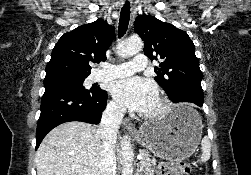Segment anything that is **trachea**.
Listing matches in <instances>:
<instances>
[{
	"label": "trachea",
	"instance_id": "trachea-1",
	"mask_svg": "<svg viewBox=\"0 0 251 175\" xmlns=\"http://www.w3.org/2000/svg\"><path fill=\"white\" fill-rule=\"evenodd\" d=\"M129 19H130V4L129 2H126L124 6L122 7L121 13H120V20H119V27H118L119 37H122L126 33Z\"/></svg>",
	"mask_w": 251,
	"mask_h": 175
}]
</instances>
